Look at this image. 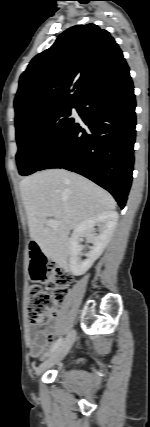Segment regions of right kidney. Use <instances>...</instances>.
Masks as SVG:
<instances>
[{
    "label": "right kidney",
    "mask_w": 150,
    "mask_h": 427,
    "mask_svg": "<svg viewBox=\"0 0 150 427\" xmlns=\"http://www.w3.org/2000/svg\"><path fill=\"white\" fill-rule=\"evenodd\" d=\"M117 221L118 213L112 211L87 219L74 229L69 239L70 270L74 275L80 276L86 273L101 256L113 234ZM96 225L99 234L95 233L94 227ZM81 236H86L93 243L91 250L85 254H82ZM82 256L86 258L82 260Z\"/></svg>",
    "instance_id": "obj_1"
}]
</instances>
